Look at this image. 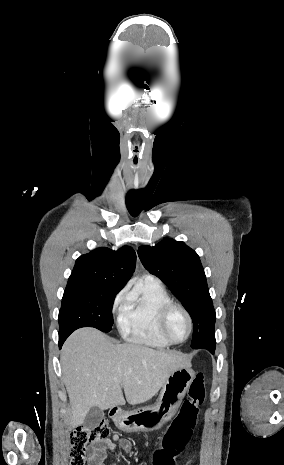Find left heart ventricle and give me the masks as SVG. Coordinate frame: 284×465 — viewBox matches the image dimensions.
<instances>
[{
    "mask_svg": "<svg viewBox=\"0 0 284 465\" xmlns=\"http://www.w3.org/2000/svg\"><path fill=\"white\" fill-rule=\"evenodd\" d=\"M167 333L174 341H182L188 333V321L181 310H175L167 322Z\"/></svg>",
    "mask_w": 284,
    "mask_h": 465,
    "instance_id": "b2bd125f",
    "label": "left heart ventricle"
}]
</instances>
